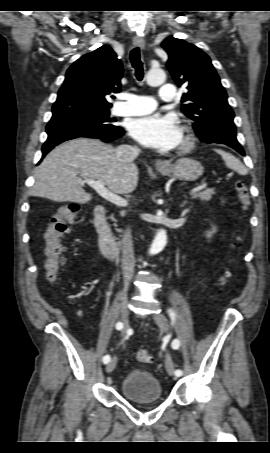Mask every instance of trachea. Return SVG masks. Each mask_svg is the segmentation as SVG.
Returning <instances> with one entry per match:
<instances>
[{"mask_svg": "<svg viewBox=\"0 0 270 453\" xmlns=\"http://www.w3.org/2000/svg\"><path fill=\"white\" fill-rule=\"evenodd\" d=\"M130 61L132 67L135 69L136 78L141 81L144 76L143 63L140 57V49L138 47L134 48L130 52Z\"/></svg>", "mask_w": 270, "mask_h": 453, "instance_id": "trachea-1", "label": "trachea"}]
</instances>
